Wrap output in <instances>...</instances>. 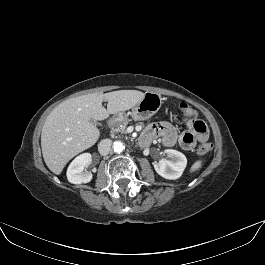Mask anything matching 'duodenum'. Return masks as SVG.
<instances>
[{"mask_svg":"<svg viewBox=\"0 0 265 265\" xmlns=\"http://www.w3.org/2000/svg\"><path fill=\"white\" fill-rule=\"evenodd\" d=\"M115 123H116V118H111V119H109V121H108V126L111 127V126H113Z\"/></svg>","mask_w":265,"mask_h":265,"instance_id":"1","label":"duodenum"}]
</instances>
